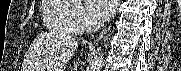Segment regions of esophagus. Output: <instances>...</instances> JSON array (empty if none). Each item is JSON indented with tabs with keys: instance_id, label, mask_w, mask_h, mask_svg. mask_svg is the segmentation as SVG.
I'll list each match as a JSON object with an SVG mask.
<instances>
[{
	"instance_id": "obj_1",
	"label": "esophagus",
	"mask_w": 181,
	"mask_h": 71,
	"mask_svg": "<svg viewBox=\"0 0 181 71\" xmlns=\"http://www.w3.org/2000/svg\"><path fill=\"white\" fill-rule=\"evenodd\" d=\"M110 30V26L106 27L96 38V41H99L103 36Z\"/></svg>"
}]
</instances>
